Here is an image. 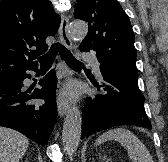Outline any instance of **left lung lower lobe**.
Segmentation results:
<instances>
[{"mask_svg":"<svg viewBox=\"0 0 168 162\" xmlns=\"http://www.w3.org/2000/svg\"><path fill=\"white\" fill-rule=\"evenodd\" d=\"M103 77L98 90L103 94L87 98L83 108L82 138L101 130L121 125L151 128L144 109V96L138 87V77L100 63Z\"/></svg>","mask_w":168,"mask_h":162,"instance_id":"0a47b994","label":"left lung lower lobe"}]
</instances>
